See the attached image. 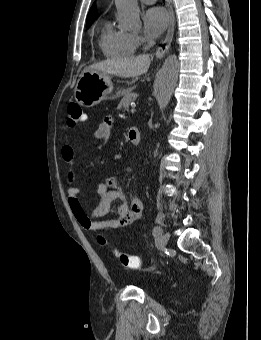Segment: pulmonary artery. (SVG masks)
<instances>
[{
  "label": "pulmonary artery",
  "instance_id": "1",
  "mask_svg": "<svg viewBox=\"0 0 261 340\" xmlns=\"http://www.w3.org/2000/svg\"><path fill=\"white\" fill-rule=\"evenodd\" d=\"M142 2H144V3H153L155 0H141Z\"/></svg>",
  "mask_w": 261,
  "mask_h": 340
}]
</instances>
